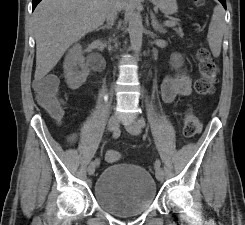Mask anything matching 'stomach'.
I'll return each mask as SVG.
<instances>
[{"label": "stomach", "instance_id": "0dacf381", "mask_svg": "<svg viewBox=\"0 0 245 225\" xmlns=\"http://www.w3.org/2000/svg\"><path fill=\"white\" fill-rule=\"evenodd\" d=\"M150 2L166 15H172L178 9L176 0H150Z\"/></svg>", "mask_w": 245, "mask_h": 225}]
</instances>
